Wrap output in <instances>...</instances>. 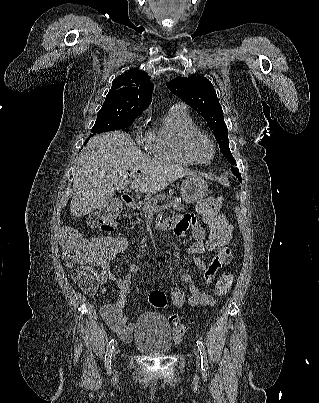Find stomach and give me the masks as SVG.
I'll list each match as a JSON object with an SVG mask.
<instances>
[{"label":"stomach","instance_id":"stomach-1","mask_svg":"<svg viewBox=\"0 0 319 403\" xmlns=\"http://www.w3.org/2000/svg\"><path fill=\"white\" fill-rule=\"evenodd\" d=\"M180 192L186 203L193 204L201 201L207 195L208 184L201 177L187 176L181 184Z\"/></svg>","mask_w":319,"mask_h":403}]
</instances>
